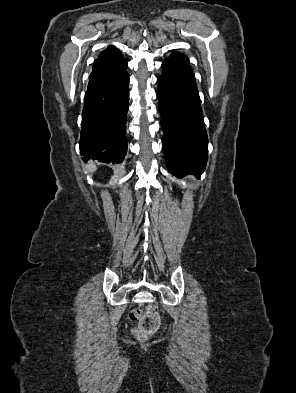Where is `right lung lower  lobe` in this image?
I'll use <instances>...</instances> for the list:
<instances>
[{
  "mask_svg": "<svg viewBox=\"0 0 296 393\" xmlns=\"http://www.w3.org/2000/svg\"><path fill=\"white\" fill-rule=\"evenodd\" d=\"M127 62L109 46L94 61L84 98L79 141L83 160L121 163L127 152Z\"/></svg>",
  "mask_w": 296,
  "mask_h": 393,
  "instance_id": "obj_1",
  "label": "right lung lower lobe"
}]
</instances>
